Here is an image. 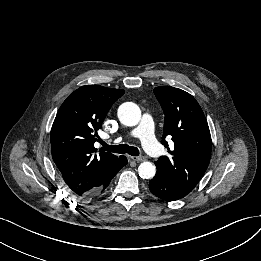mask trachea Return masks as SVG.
<instances>
[{
	"label": "trachea",
	"mask_w": 261,
	"mask_h": 261,
	"mask_svg": "<svg viewBox=\"0 0 261 261\" xmlns=\"http://www.w3.org/2000/svg\"><path fill=\"white\" fill-rule=\"evenodd\" d=\"M102 146H103L102 149L108 152L120 153V154L128 153L129 155L132 156H139L138 148L134 146H129L127 144L112 146L102 142Z\"/></svg>",
	"instance_id": "obj_1"
}]
</instances>
